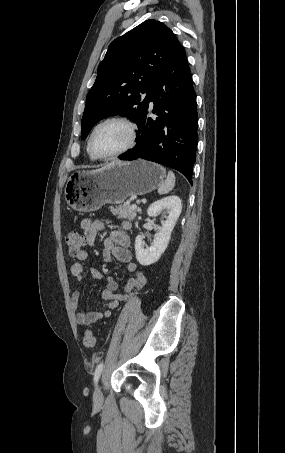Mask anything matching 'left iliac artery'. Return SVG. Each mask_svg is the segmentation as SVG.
I'll list each match as a JSON object with an SVG mask.
<instances>
[{
    "label": "left iliac artery",
    "mask_w": 285,
    "mask_h": 453,
    "mask_svg": "<svg viewBox=\"0 0 285 453\" xmlns=\"http://www.w3.org/2000/svg\"><path fill=\"white\" fill-rule=\"evenodd\" d=\"M102 369H103V363L101 362L95 369V372H94V383H97V381L99 380V377L101 375Z\"/></svg>",
    "instance_id": "44dca946"
}]
</instances>
